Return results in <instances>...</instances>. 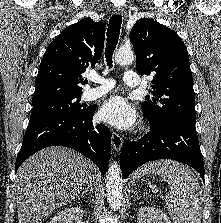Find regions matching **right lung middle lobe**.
<instances>
[{
	"mask_svg": "<svg viewBox=\"0 0 221 223\" xmlns=\"http://www.w3.org/2000/svg\"><path fill=\"white\" fill-rule=\"evenodd\" d=\"M80 95L33 103L30 121L52 114L78 115L88 112L91 107L80 104Z\"/></svg>",
	"mask_w": 221,
	"mask_h": 223,
	"instance_id": "dd1d6c3e",
	"label": "right lung middle lobe"
}]
</instances>
